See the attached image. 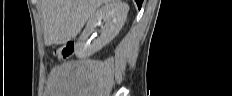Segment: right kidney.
Segmentation results:
<instances>
[{"label":"right kidney","instance_id":"1","mask_svg":"<svg viewBox=\"0 0 232 96\" xmlns=\"http://www.w3.org/2000/svg\"><path fill=\"white\" fill-rule=\"evenodd\" d=\"M129 11V6L120 0H110L98 9L89 18L87 25L75 45V53L79 58H88L106 44H108L121 30ZM101 27V35L92 44H88V37L95 31L96 26Z\"/></svg>","mask_w":232,"mask_h":96}]
</instances>
